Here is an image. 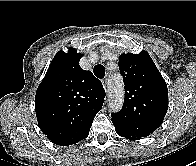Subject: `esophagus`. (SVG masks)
<instances>
[{"instance_id":"1","label":"esophagus","mask_w":196,"mask_h":166,"mask_svg":"<svg viewBox=\"0 0 196 166\" xmlns=\"http://www.w3.org/2000/svg\"><path fill=\"white\" fill-rule=\"evenodd\" d=\"M102 85H103V87L106 89L107 88V85H108V80H107V78H103L102 79Z\"/></svg>"}]
</instances>
